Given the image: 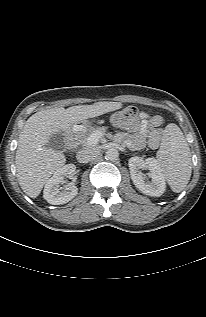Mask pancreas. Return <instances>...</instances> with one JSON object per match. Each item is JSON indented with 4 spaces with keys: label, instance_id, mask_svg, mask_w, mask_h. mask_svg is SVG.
Returning <instances> with one entry per match:
<instances>
[{
    "label": "pancreas",
    "instance_id": "1",
    "mask_svg": "<svg viewBox=\"0 0 206 317\" xmlns=\"http://www.w3.org/2000/svg\"><path fill=\"white\" fill-rule=\"evenodd\" d=\"M106 130L105 127H97V128H89V129H83L80 132L75 133V145H83L86 146L88 144V138L94 134V133H104Z\"/></svg>",
    "mask_w": 206,
    "mask_h": 317
}]
</instances>
